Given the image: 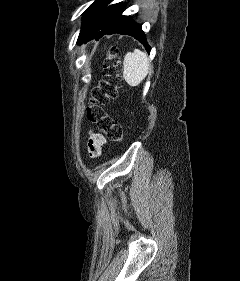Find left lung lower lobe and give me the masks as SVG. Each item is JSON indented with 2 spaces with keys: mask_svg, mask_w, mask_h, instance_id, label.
Here are the masks:
<instances>
[{
  "mask_svg": "<svg viewBox=\"0 0 240 281\" xmlns=\"http://www.w3.org/2000/svg\"><path fill=\"white\" fill-rule=\"evenodd\" d=\"M112 0H104L97 8L91 18L81 29L78 43L87 42L93 38L99 39L105 34L119 33L130 35L145 44V48L150 52L145 34L141 30V25L135 23L130 16H122L121 3L107 5Z\"/></svg>",
  "mask_w": 240,
  "mask_h": 281,
  "instance_id": "1",
  "label": "left lung lower lobe"
}]
</instances>
